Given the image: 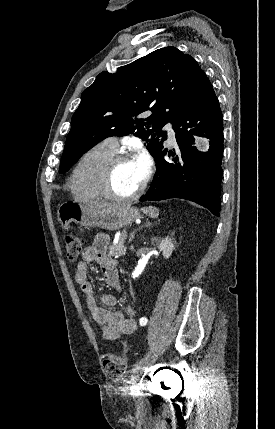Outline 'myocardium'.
<instances>
[{
	"label": "myocardium",
	"mask_w": 275,
	"mask_h": 429,
	"mask_svg": "<svg viewBox=\"0 0 275 429\" xmlns=\"http://www.w3.org/2000/svg\"><path fill=\"white\" fill-rule=\"evenodd\" d=\"M131 159H133L131 154L117 153V154H114L106 161L100 177V191L104 198L112 201H116V202H130V201L136 200L142 195L147 185L148 176H146V178L143 180L140 187L130 195H127V196L118 195L114 192L112 188V178L117 165Z\"/></svg>",
	"instance_id": "myocardium-1"
}]
</instances>
